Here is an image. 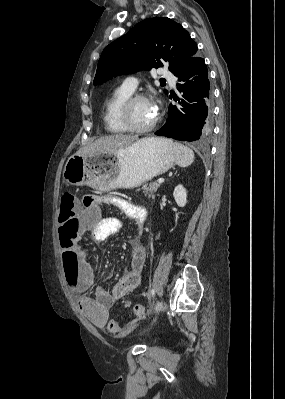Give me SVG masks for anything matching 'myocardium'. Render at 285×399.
<instances>
[{
    "label": "myocardium",
    "instance_id": "obj_1",
    "mask_svg": "<svg viewBox=\"0 0 285 399\" xmlns=\"http://www.w3.org/2000/svg\"><path fill=\"white\" fill-rule=\"evenodd\" d=\"M138 100H146V101H150L145 95L143 94H132L131 96H129L123 103L121 109H120V118H121V122L123 124V126L129 131V132H133V133H145L148 132L150 130H152L158 123L159 121V114L158 111L156 113V117L154 119V121L145 126V127H135L132 123V119H131V108L132 105L138 101Z\"/></svg>",
    "mask_w": 285,
    "mask_h": 399
}]
</instances>
